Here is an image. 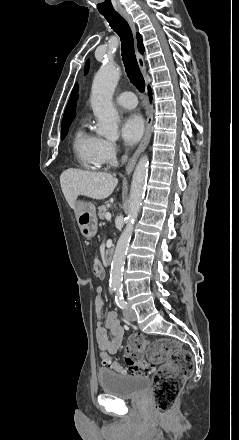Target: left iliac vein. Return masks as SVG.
Segmentation results:
<instances>
[{"label": "left iliac vein", "instance_id": "1", "mask_svg": "<svg viewBox=\"0 0 239 440\" xmlns=\"http://www.w3.org/2000/svg\"><path fill=\"white\" fill-rule=\"evenodd\" d=\"M123 316L128 321H135L136 320V314H135L134 310H132L129 307H127L123 310Z\"/></svg>", "mask_w": 239, "mask_h": 440}]
</instances>
